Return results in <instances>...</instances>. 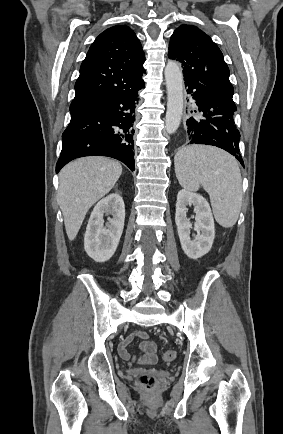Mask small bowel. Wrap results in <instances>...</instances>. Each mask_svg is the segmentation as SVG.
<instances>
[{
	"mask_svg": "<svg viewBox=\"0 0 283 434\" xmlns=\"http://www.w3.org/2000/svg\"><path fill=\"white\" fill-rule=\"evenodd\" d=\"M139 340V348L141 350V355L134 357L128 346L134 341ZM118 351L120 356L125 360H134L141 365H150L156 362V344L155 342L149 340V334L143 330H137L125 339H123L119 346Z\"/></svg>",
	"mask_w": 283,
	"mask_h": 434,
	"instance_id": "obj_1",
	"label": "small bowel"
}]
</instances>
